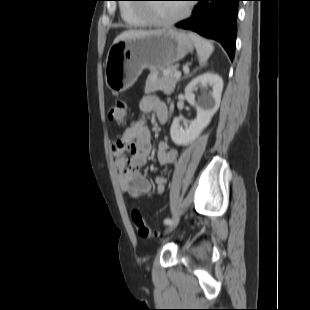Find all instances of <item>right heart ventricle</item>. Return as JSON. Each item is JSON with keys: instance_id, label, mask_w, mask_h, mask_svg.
Returning a JSON list of instances; mask_svg holds the SVG:
<instances>
[{"instance_id": "e07e8e85", "label": "right heart ventricle", "mask_w": 310, "mask_h": 310, "mask_svg": "<svg viewBox=\"0 0 310 310\" xmlns=\"http://www.w3.org/2000/svg\"><path fill=\"white\" fill-rule=\"evenodd\" d=\"M120 14L123 21L129 27H143L149 24V20L145 16L141 15L138 12V9L131 4H121Z\"/></svg>"}]
</instances>
